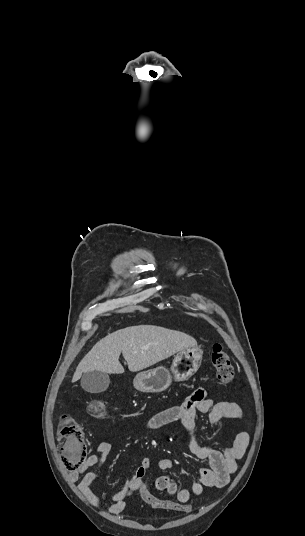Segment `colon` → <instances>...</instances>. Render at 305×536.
Returning <instances> with one entry per match:
<instances>
[{
  "mask_svg": "<svg viewBox=\"0 0 305 536\" xmlns=\"http://www.w3.org/2000/svg\"><path fill=\"white\" fill-rule=\"evenodd\" d=\"M211 364L216 371L217 382L226 386L233 380V370L229 356L220 342L212 345L210 353ZM108 402L105 399H92L88 402L87 411L93 418L105 417L108 413ZM57 440L62 444L59 446L60 461L64 462L65 471H80L81 462L84 461L88 447L83 439V429L81 425L71 416L62 415L59 420ZM142 502L149 506L153 513L175 512L177 509L182 512H190L192 504L171 500L163 502L154 492L147 490L145 486L140 488Z\"/></svg>",
  "mask_w": 305,
  "mask_h": 536,
  "instance_id": "5ec220e1",
  "label": "colon"
}]
</instances>
